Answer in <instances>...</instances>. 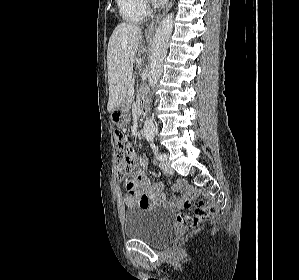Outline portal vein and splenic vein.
I'll return each mask as SVG.
<instances>
[{
  "mask_svg": "<svg viewBox=\"0 0 299 280\" xmlns=\"http://www.w3.org/2000/svg\"><path fill=\"white\" fill-rule=\"evenodd\" d=\"M129 94H131V95H134V93H135V90H134V87L133 86H131L130 88H129Z\"/></svg>",
  "mask_w": 299,
  "mask_h": 280,
  "instance_id": "18ae733b",
  "label": "portal vein and splenic vein"
}]
</instances>
